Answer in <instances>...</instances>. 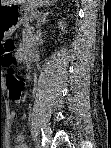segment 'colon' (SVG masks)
<instances>
[{
    "mask_svg": "<svg viewBox=\"0 0 111 148\" xmlns=\"http://www.w3.org/2000/svg\"><path fill=\"white\" fill-rule=\"evenodd\" d=\"M8 49L12 50L14 44L12 42L7 43ZM14 61V57L11 55H6L2 59V64L7 68L5 72V84L8 90L9 98L12 101H16L21 97L22 82L20 77L11 69H8V66Z\"/></svg>",
    "mask_w": 111,
    "mask_h": 148,
    "instance_id": "1",
    "label": "colon"
}]
</instances>
